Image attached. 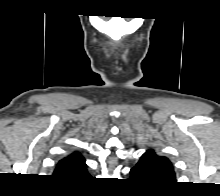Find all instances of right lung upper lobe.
Instances as JSON below:
<instances>
[{
  "mask_svg": "<svg viewBox=\"0 0 220 196\" xmlns=\"http://www.w3.org/2000/svg\"><path fill=\"white\" fill-rule=\"evenodd\" d=\"M88 175L85 159L79 152L60 160L54 171L55 177L66 180H82Z\"/></svg>",
  "mask_w": 220,
  "mask_h": 196,
  "instance_id": "right-lung-upper-lobe-1",
  "label": "right lung upper lobe"
}]
</instances>
